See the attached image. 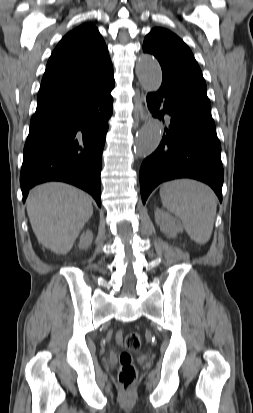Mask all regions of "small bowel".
<instances>
[{
  "label": "small bowel",
  "mask_w": 253,
  "mask_h": 413,
  "mask_svg": "<svg viewBox=\"0 0 253 413\" xmlns=\"http://www.w3.org/2000/svg\"><path fill=\"white\" fill-rule=\"evenodd\" d=\"M117 339H118V341H121V334L120 333L117 335Z\"/></svg>",
  "instance_id": "obj_1"
}]
</instances>
